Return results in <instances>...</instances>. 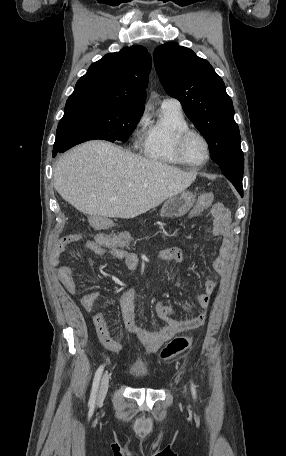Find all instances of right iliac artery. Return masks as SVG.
Segmentation results:
<instances>
[{"mask_svg": "<svg viewBox=\"0 0 286 456\" xmlns=\"http://www.w3.org/2000/svg\"><path fill=\"white\" fill-rule=\"evenodd\" d=\"M103 369H104V366L101 365V366L98 368V370L96 371V374H95V376H94L93 385H92V390H91V395H90V399H89V403H88L89 406H91V407L94 406L95 401H96L97 392H98V387H99L100 378H101Z\"/></svg>", "mask_w": 286, "mask_h": 456, "instance_id": "82829eb1", "label": "right iliac artery"}]
</instances>
